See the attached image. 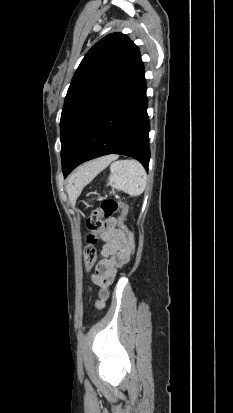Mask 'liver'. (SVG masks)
<instances>
[{"instance_id":"obj_1","label":"liver","mask_w":233,"mask_h":413,"mask_svg":"<svg viewBox=\"0 0 233 413\" xmlns=\"http://www.w3.org/2000/svg\"><path fill=\"white\" fill-rule=\"evenodd\" d=\"M115 157L106 156L80 166L69 179L66 187L70 200H74L85 184L104 169Z\"/></svg>"}]
</instances>
